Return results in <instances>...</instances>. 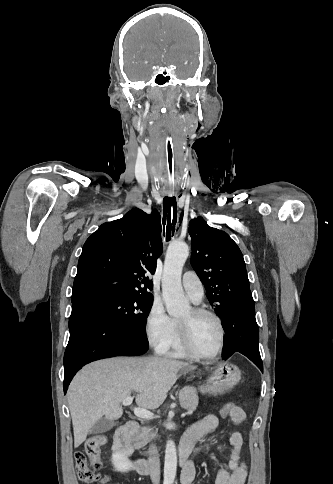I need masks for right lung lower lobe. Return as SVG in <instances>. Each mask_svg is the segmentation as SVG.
<instances>
[{"label": "right lung lower lobe", "mask_w": 333, "mask_h": 484, "mask_svg": "<svg viewBox=\"0 0 333 484\" xmlns=\"http://www.w3.org/2000/svg\"><path fill=\"white\" fill-rule=\"evenodd\" d=\"M70 338L64 355V393L81 367L111 356H133L148 350V340L133 335L98 305L85 299L72 302Z\"/></svg>", "instance_id": "obj_1"}]
</instances>
